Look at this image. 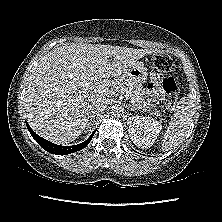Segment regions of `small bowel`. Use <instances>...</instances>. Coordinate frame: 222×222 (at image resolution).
<instances>
[{
    "mask_svg": "<svg viewBox=\"0 0 222 222\" xmlns=\"http://www.w3.org/2000/svg\"><path fill=\"white\" fill-rule=\"evenodd\" d=\"M161 80L154 79L150 85L149 94L151 98H160L162 96Z\"/></svg>",
    "mask_w": 222,
    "mask_h": 222,
    "instance_id": "1",
    "label": "small bowel"
}]
</instances>
